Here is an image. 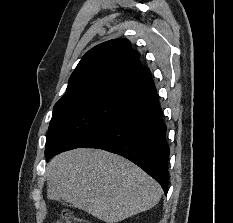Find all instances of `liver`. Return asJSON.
I'll list each match as a JSON object with an SVG mask.
<instances>
[{"label":"liver","mask_w":233,"mask_h":223,"mask_svg":"<svg viewBox=\"0 0 233 223\" xmlns=\"http://www.w3.org/2000/svg\"><path fill=\"white\" fill-rule=\"evenodd\" d=\"M47 197L118 223L151 209L161 187L129 159L104 149H71L55 155L46 169Z\"/></svg>","instance_id":"liver-1"}]
</instances>
